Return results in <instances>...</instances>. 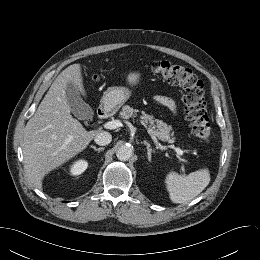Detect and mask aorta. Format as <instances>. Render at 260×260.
<instances>
[{
    "label": "aorta",
    "instance_id": "obj_1",
    "mask_svg": "<svg viewBox=\"0 0 260 260\" xmlns=\"http://www.w3.org/2000/svg\"><path fill=\"white\" fill-rule=\"evenodd\" d=\"M133 153V149L131 146L122 145L118 148L116 152V156L120 161H128Z\"/></svg>",
    "mask_w": 260,
    "mask_h": 260
}]
</instances>
